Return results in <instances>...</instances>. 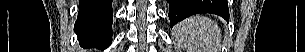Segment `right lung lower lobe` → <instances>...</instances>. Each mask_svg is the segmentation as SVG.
<instances>
[{
    "instance_id": "right-lung-lower-lobe-1",
    "label": "right lung lower lobe",
    "mask_w": 305,
    "mask_h": 52,
    "mask_svg": "<svg viewBox=\"0 0 305 52\" xmlns=\"http://www.w3.org/2000/svg\"><path fill=\"white\" fill-rule=\"evenodd\" d=\"M112 0H80L75 32L81 45L108 47L112 42Z\"/></svg>"
}]
</instances>
